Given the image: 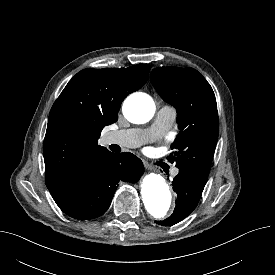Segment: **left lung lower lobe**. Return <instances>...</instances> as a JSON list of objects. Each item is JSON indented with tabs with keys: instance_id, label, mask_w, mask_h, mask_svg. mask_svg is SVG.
I'll return each instance as SVG.
<instances>
[{
	"instance_id": "left-lung-lower-lobe-1",
	"label": "left lung lower lobe",
	"mask_w": 275,
	"mask_h": 275,
	"mask_svg": "<svg viewBox=\"0 0 275 275\" xmlns=\"http://www.w3.org/2000/svg\"><path fill=\"white\" fill-rule=\"evenodd\" d=\"M208 174L195 168L179 169L178 175L173 179V190L177 194V203L173 214L164 221H156L163 226H172L186 218L196 208Z\"/></svg>"
}]
</instances>
